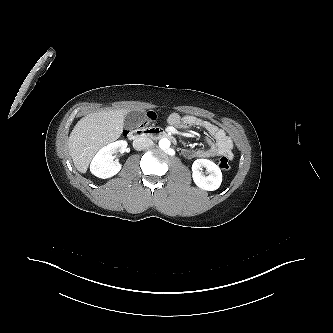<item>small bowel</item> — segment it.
Wrapping results in <instances>:
<instances>
[{
	"mask_svg": "<svg viewBox=\"0 0 333 333\" xmlns=\"http://www.w3.org/2000/svg\"><path fill=\"white\" fill-rule=\"evenodd\" d=\"M167 123L175 128L198 127L205 130L212 139H208V147L201 149H187L184 155L189 158H213L226 155L233 157V143L226 132L217 125L199 119L193 115H180L172 113L167 118Z\"/></svg>",
	"mask_w": 333,
	"mask_h": 333,
	"instance_id": "1",
	"label": "small bowel"
}]
</instances>
